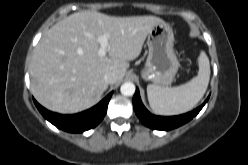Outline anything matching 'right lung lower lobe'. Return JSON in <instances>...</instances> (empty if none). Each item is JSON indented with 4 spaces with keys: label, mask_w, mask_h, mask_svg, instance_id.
Returning a JSON list of instances; mask_svg holds the SVG:
<instances>
[{
    "label": "right lung lower lobe",
    "mask_w": 248,
    "mask_h": 165,
    "mask_svg": "<svg viewBox=\"0 0 248 165\" xmlns=\"http://www.w3.org/2000/svg\"><path fill=\"white\" fill-rule=\"evenodd\" d=\"M112 94L113 92L108 94L99 104L91 109L74 115L53 113L39 105L35 100L34 103L43 117L57 128L67 132L82 133L96 127L102 121Z\"/></svg>",
    "instance_id": "1"
}]
</instances>
